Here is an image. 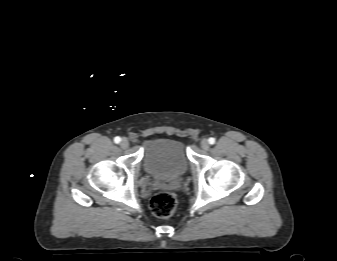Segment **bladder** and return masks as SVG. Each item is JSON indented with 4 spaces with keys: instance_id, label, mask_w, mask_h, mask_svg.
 Returning a JSON list of instances; mask_svg holds the SVG:
<instances>
[{
    "instance_id": "31cf9c89",
    "label": "bladder",
    "mask_w": 337,
    "mask_h": 261,
    "mask_svg": "<svg viewBox=\"0 0 337 261\" xmlns=\"http://www.w3.org/2000/svg\"><path fill=\"white\" fill-rule=\"evenodd\" d=\"M143 165L145 171L152 177L172 180L187 172L189 160L181 141L156 137L144 143Z\"/></svg>"
}]
</instances>
